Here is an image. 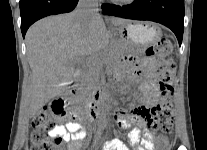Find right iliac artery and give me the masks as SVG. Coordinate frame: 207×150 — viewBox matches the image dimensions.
Wrapping results in <instances>:
<instances>
[{
    "instance_id": "82829eb1",
    "label": "right iliac artery",
    "mask_w": 207,
    "mask_h": 150,
    "mask_svg": "<svg viewBox=\"0 0 207 150\" xmlns=\"http://www.w3.org/2000/svg\"><path fill=\"white\" fill-rule=\"evenodd\" d=\"M110 146H111V143L106 142V144L104 145V150H109Z\"/></svg>"
}]
</instances>
